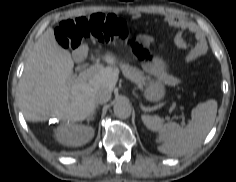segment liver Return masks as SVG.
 Here are the masks:
<instances>
[{"label": "liver", "instance_id": "liver-1", "mask_svg": "<svg viewBox=\"0 0 236 182\" xmlns=\"http://www.w3.org/2000/svg\"><path fill=\"white\" fill-rule=\"evenodd\" d=\"M87 47L74 52L85 57ZM108 64L94 76L83 79L72 75L70 52L56 41L48 28L36 42L19 83V102L28 121L45 122L50 117L62 121H83L95 110V93L100 88L112 91L119 77L118 60L112 53L102 57Z\"/></svg>", "mask_w": 236, "mask_h": 182}]
</instances>
